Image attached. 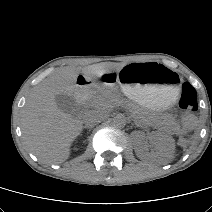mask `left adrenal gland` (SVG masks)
Masks as SVG:
<instances>
[{"instance_id":"a2214340","label":"left adrenal gland","mask_w":212,"mask_h":212,"mask_svg":"<svg viewBox=\"0 0 212 212\" xmlns=\"http://www.w3.org/2000/svg\"><path fill=\"white\" fill-rule=\"evenodd\" d=\"M135 125H136V127H139L140 125L139 124H137V123H135Z\"/></svg>"}]
</instances>
